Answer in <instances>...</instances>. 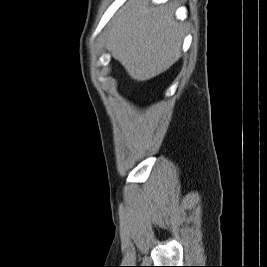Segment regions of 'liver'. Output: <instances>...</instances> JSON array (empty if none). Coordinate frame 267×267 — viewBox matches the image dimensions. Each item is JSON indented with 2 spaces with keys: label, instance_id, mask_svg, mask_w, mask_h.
<instances>
[{
  "label": "liver",
  "instance_id": "6515ba94",
  "mask_svg": "<svg viewBox=\"0 0 267 267\" xmlns=\"http://www.w3.org/2000/svg\"><path fill=\"white\" fill-rule=\"evenodd\" d=\"M174 12L172 4L129 0L112 18L105 46L132 79L150 80L181 57L184 26Z\"/></svg>",
  "mask_w": 267,
  "mask_h": 267
}]
</instances>
